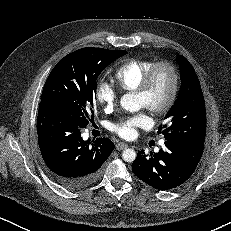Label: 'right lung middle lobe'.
<instances>
[{"label":"right lung middle lobe","mask_w":231,"mask_h":231,"mask_svg":"<svg viewBox=\"0 0 231 231\" xmlns=\"http://www.w3.org/2000/svg\"><path fill=\"white\" fill-rule=\"evenodd\" d=\"M125 50L82 48L63 57L44 85L41 102L54 103L70 113L79 127L93 121L97 78Z\"/></svg>","instance_id":"obj_1"}]
</instances>
